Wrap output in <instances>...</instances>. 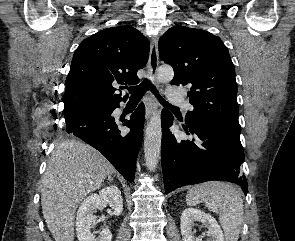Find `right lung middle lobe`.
Listing matches in <instances>:
<instances>
[{
	"mask_svg": "<svg viewBox=\"0 0 295 241\" xmlns=\"http://www.w3.org/2000/svg\"><path fill=\"white\" fill-rule=\"evenodd\" d=\"M96 108H99V107H96ZM96 108L86 109V110H83V111H80V112H77V113L65 114V119H66V120H70V119H72L74 116H76L77 114H79V113H81V112L89 111V110H94V109H96Z\"/></svg>",
	"mask_w": 295,
	"mask_h": 241,
	"instance_id": "1",
	"label": "right lung middle lobe"
}]
</instances>
